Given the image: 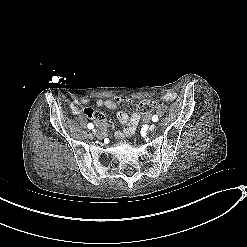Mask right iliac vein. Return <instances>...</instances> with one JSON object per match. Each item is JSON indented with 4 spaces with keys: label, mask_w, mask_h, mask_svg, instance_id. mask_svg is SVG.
<instances>
[{
    "label": "right iliac vein",
    "mask_w": 247,
    "mask_h": 247,
    "mask_svg": "<svg viewBox=\"0 0 247 247\" xmlns=\"http://www.w3.org/2000/svg\"><path fill=\"white\" fill-rule=\"evenodd\" d=\"M92 133H93L94 135H97V136H98V133H97V130H96V129H93V130H92Z\"/></svg>",
    "instance_id": "63e3f726"
}]
</instances>
